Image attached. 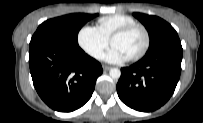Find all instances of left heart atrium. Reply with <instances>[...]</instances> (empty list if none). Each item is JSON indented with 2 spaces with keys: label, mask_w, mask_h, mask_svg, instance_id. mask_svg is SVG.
I'll use <instances>...</instances> for the list:
<instances>
[{
  "label": "left heart atrium",
  "mask_w": 203,
  "mask_h": 123,
  "mask_svg": "<svg viewBox=\"0 0 203 123\" xmlns=\"http://www.w3.org/2000/svg\"><path fill=\"white\" fill-rule=\"evenodd\" d=\"M104 59L110 63H123L129 58L121 50L112 46L111 49L104 55Z\"/></svg>",
  "instance_id": "1"
}]
</instances>
